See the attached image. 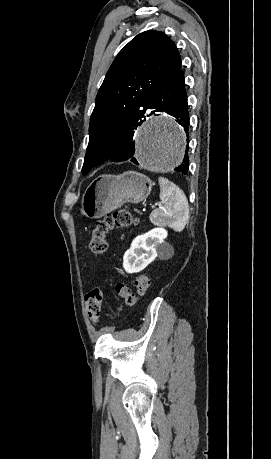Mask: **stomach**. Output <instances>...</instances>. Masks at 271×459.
Returning <instances> with one entry per match:
<instances>
[{
	"label": "stomach",
	"mask_w": 271,
	"mask_h": 459,
	"mask_svg": "<svg viewBox=\"0 0 271 459\" xmlns=\"http://www.w3.org/2000/svg\"><path fill=\"white\" fill-rule=\"evenodd\" d=\"M153 184L138 172H124L120 176H98L82 198L81 214L86 218H102L123 204H139L148 198Z\"/></svg>",
	"instance_id": "obj_1"
}]
</instances>
